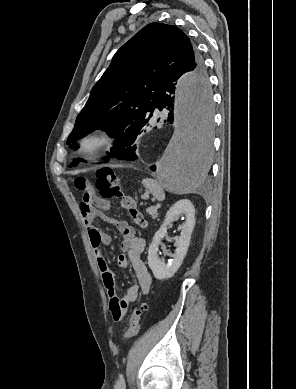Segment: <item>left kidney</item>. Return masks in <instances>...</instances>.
<instances>
[{
	"label": "left kidney",
	"mask_w": 296,
	"mask_h": 389,
	"mask_svg": "<svg viewBox=\"0 0 296 389\" xmlns=\"http://www.w3.org/2000/svg\"><path fill=\"white\" fill-rule=\"evenodd\" d=\"M179 216H183L185 222L183 223L180 236L175 241V252L171 255L172 258L168 260V263H165L164 260L159 258L158 247L167 234V227ZM194 226L195 209L190 200H180L169 209L162 226L155 233L148 249V266L156 279H169L177 272L187 253Z\"/></svg>",
	"instance_id": "5707ae66"
}]
</instances>
